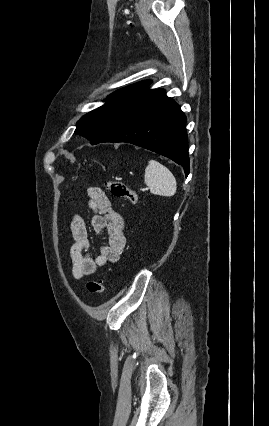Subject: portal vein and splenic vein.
Instances as JSON below:
<instances>
[{
    "instance_id": "18ae733b",
    "label": "portal vein and splenic vein",
    "mask_w": 269,
    "mask_h": 426,
    "mask_svg": "<svg viewBox=\"0 0 269 426\" xmlns=\"http://www.w3.org/2000/svg\"><path fill=\"white\" fill-rule=\"evenodd\" d=\"M145 190H147V188H143V189H142V191H145Z\"/></svg>"
}]
</instances>
